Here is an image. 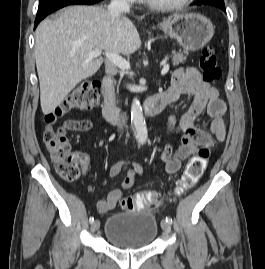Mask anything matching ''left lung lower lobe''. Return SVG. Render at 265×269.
I'll return each mask as SVG.
<instances>
[{"label":"left lung lower lobe","mask_w":265,"mask_h":269,"mask_svg":"<svg viewBox=\"0 0 265 269\" xmlns=\"http://www.w3.org/2000/svg\"><path fill=\"white\" fill-rule=\"evenodd\" d=\"M196 5H211V6H215L217 8H220L221 10H223L225 12V5H224V1H219V0H204V1H200L195 3Z\"/></svg>","instance_id":"0a47b994"}]
</instances>
